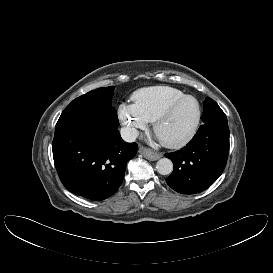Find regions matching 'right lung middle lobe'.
<instances>
[{
    "label": "right lung middle lobe",
    "mask_w": 273,
    "mask_h": 273,
    "mask_svg": "<svg viewBox=\"0 0 273 273\" xmlns=\"http://www.w3.org/2000/svg\"><path fill=\"white\" fill-rule=\"evenodd\" d=\"M114 89L98 88L74 99L62 112L55 129L78 122L118 127L117 113L111 106Z\"/></svg>",
    "instance_id": "dd1d6c3e"
}]
</instances>
